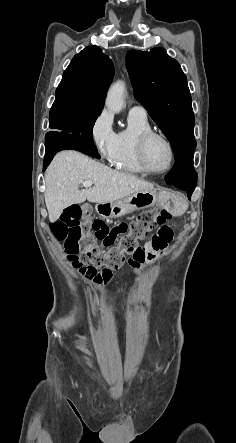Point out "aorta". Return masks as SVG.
Returning <instances> with one entry per match:
<instances>
[{"mask_svg": "<svg viewBox=\"0 0 236 443\" xmlns=\"http://www.w3.org/2000/svg\"><path fill=\"white\" fill-rule=\"evenodd\" d=\"M124 95L125 83L118 81L113 84L107 93L105 101L107 108L114 113H119L125 106Z\"/></svg>", "mask_w": 236, "mask_h": 443, "instance_id": "1", "label": "aorta"}]
</instances>
